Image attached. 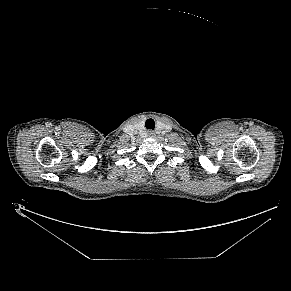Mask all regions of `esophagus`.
Returning <instances> with one entry per match:
<instances>
[{
	"label": "esophagus",
	"mask_w": 291,
	"mask_h": 291,
	"mask_svg": "<svg viewBox=\"0 0 291 291\" xmlns=\"http://www.w3.org/2000/svg\"><path fill=\"white\" fill-rule=\"evenodd\" d=\"M148 135H149L150 137H154L155 133H154V131L149 130V131H148Z\"/></svg>",
	"instance_id": "obj_1"
}]
</instances>
